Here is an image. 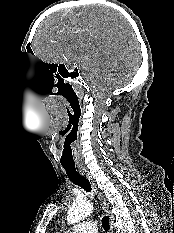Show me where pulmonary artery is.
<instances>
[{"instance_id":"e3ab8cb5","label":"pulmonary artery","mask_w":174,"mask_h":233,"mask_svg":"<svg viewBox=\"0 0 174 233\" xmlns=\"http://www.w3.org/2000/svg\"><path fill=\"white\" fill-rule=\"evenodd\" d=\"M72 233H97V227L93 221H84L75 225Z\"/></svg>"}]
</instances>
